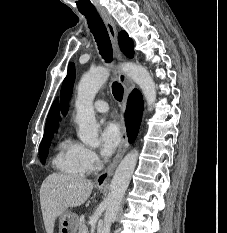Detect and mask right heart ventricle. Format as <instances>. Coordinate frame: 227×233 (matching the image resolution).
<instances>
[{"label":"right heart ventricle","instance_id":"1","mask_svg":"<svg viewBox=\"0 0 227 233\" xmlns=\"http://www.w3.org/2000/svg\"><path fill=\"white\" fill-rule=\"evenodd\" d=\"M83 146L69 138L61 141L53 164L61 173L80 177L87 172L82 159Z\"/></svg>","mask_w":227,"mask_h":233}]
</instances>
